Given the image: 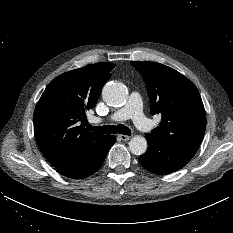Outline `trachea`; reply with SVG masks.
I'll list each match as a JSON object with an SVG mask.
<instances>
[{"label": "trachea", "mask_w": 233, "mask_h": 233, "mask_svg": "<svg viewBox=\"0 0 233 233\" xmlns=\"http://www.w3.org/2000/svg\"><path fill=\"white\" fill-rule=\"evenodd\" d=\"M89 130L95 131L97 133L102 134H123V135H131V130L123 124L115 125H104V126H96L92 127L91 125L88 126Z\"/></svg>", "instance_id": "3493384b"}]
</instances>
